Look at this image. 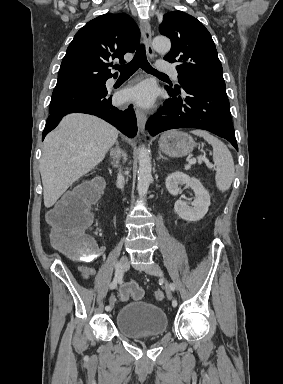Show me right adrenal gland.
Here are the masks:
<instances>
[{
    "label": "right adrenal gland",
    "mask_w": 283,
    "mask_h": 384,
    "mask_svg": "<svg viewBox=\"0 0 283 384\" xmlns=\"http://www.w3.org/2000/svg\"><path fill=\"white\" fill-rule=\"evenodd\" d=\"M115 144L116 148H111L110 150V158L113 168H118L121 158L123 160V164H125L127 160V154L124 152V150H121L119 142H115Z\"/></svg>",
    "instance_id": "right-adrenal-gland-1"
}]
</instances>
